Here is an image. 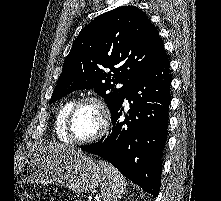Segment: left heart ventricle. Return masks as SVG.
I'll return each mask as SVG.
<instances>
[{
	"mask_svg": "<svg viewBox=\"0 0 221 201\" xmlns=\"http://www.w3.org/2000/svg\"><path fill=\"white\" fill-rule=\"evenodd\" d=\"M102 125L101 113L93 103H85L76 111L72 121V133L76 139H88L96 135Z\"/></svg>",
	"mask_w": 221,
	"mask_h": 201,
	"instance_id": "left-heart-ventricle-1",
	"label": "left heart ventricle"
}]
</instances>
